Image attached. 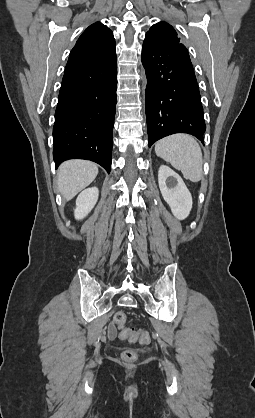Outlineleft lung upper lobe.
Instances as JSON below:
<instances>
[{"instance_id":"5c2ea615","label":"left lung upper lobe","mask_w":255,"mask_h":418,"mask_svg":"<svg viewBox=\"0 0 255 418\" xmlns=\"http://www.w3.org/2000/svg\"><path fill=\"white\" fill-rule=\"evenodd\" d=\"M144 42L164 49L183 45L174 28L166 22L154 24L146 33Z\"/></svg>"}]
</instances>
